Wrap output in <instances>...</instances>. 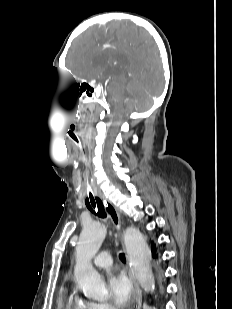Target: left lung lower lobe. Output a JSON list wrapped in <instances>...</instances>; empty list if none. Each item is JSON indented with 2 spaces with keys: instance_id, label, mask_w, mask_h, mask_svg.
Segmentation results:
<instances>
[{
  "instance_id": "0a47b994",
  "label": "left lung lower lobe",
  "mask_w": 232,
  "mask_h": 309,
  "mask_svg": "<svg viewBox=\"0 0 232 309\" xmlns=\"http://www.w3.org/2000/svg\"><path fill=\"white\" fill-rule=\"evenodd\" d=\"M151 248H152V257L157 263V265L160 266V257H161L160 251L158 250L154 242H151Z\"/></svg>"
}]
</instances>
